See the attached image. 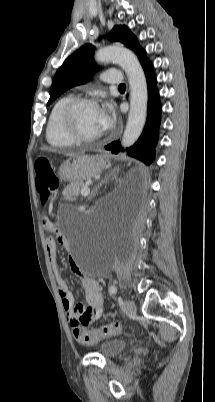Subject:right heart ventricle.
<instances>
[{"mask_svg":"<svg viewBox=\"0 0 215 402\" xmlns=\"http://www.w3.org/2000/svg\"><path fill=\"white\" fill-rule=\"evenodd\" d=\"M74 96L67 94L60 97L52 106L46 125V139L48 143L56 148H67L75 144L66 133L61 125V115L66 104L72 100Z\"/></svg>","mask_w":215,"mask_h":402,"instance_id":"right-heart-ventricle-1","label":"right heart ventricle"}]
</instances>
